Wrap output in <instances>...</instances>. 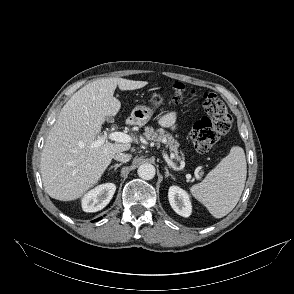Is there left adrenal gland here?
<instances>
[{
	"mask_svg": "<svg viewBox=\"0 0 294 294\" xmlns=\"http://www.w3.org/2000/svg\"><path fill=\"white\" fill-rule=\"evenodd\" d=\"M165 171H166V172H165V177H166V178L170 176L172 179H175L174 176H173L172 174L169 173V170H168L167 167H165Z\"/></svg>",
	"mask_w": 294,
	"mask_h": 294,
	"instance_id": "left-adrenal-gland-1",
	"label": "left adrenal gland"
}]
</instances>
